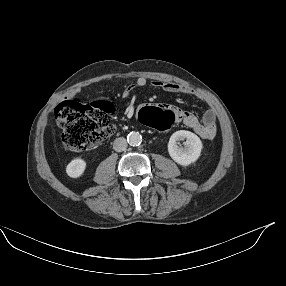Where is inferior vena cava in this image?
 Wrapping results in <instances>:
<instances>
[{
	"mask_svg": "<svg viewBox=\"0 0 286 286\" xmlns=\"http://www.w3.org/2000/svg\"><path fill=\"white\" fill-rule=\"evenodd\" d=\"M127 148V141L123 137L116 138L113 143V149L117 152L124 151Z\"/></svg>",
	"mask_w": 286,
	"mask_h": 286,
	"instance_id": "602c4592",
	"label": "inferior vena cava"
}]
</instances>
